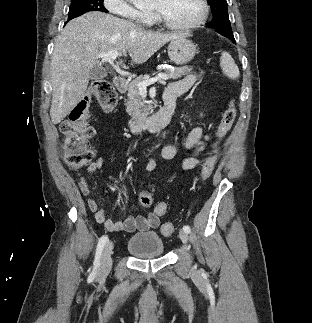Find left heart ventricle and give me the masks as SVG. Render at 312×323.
<instances>
[{"instance_id":"left-heart-ventricle-1","label":"left heart ventricle","mask_w":312,"mask_h":323,"mask_svg":"<svg viewBox=\"0 0 312 323\" xmlns=\"http://www.w3.org/2000/svg\"><path fill=\"white\" fill-rule=\"evenodd\" d=\"M161 14L169 22H190L192 18H202L199 0H166Z\"/></svg>"}]
</instances>
